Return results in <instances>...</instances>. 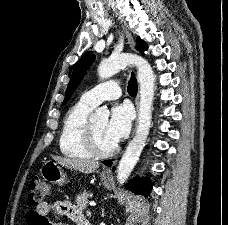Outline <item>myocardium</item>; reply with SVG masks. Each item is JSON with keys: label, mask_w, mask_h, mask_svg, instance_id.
<instances>
[{"label": "myocardium", "mask_w": 228, "mask_h": 225, "mask_svg": "<svg viewBox=\"0 0 228 225\" xmlns=\"http://www.w3.org/2000/svg\"><path fill=\"white\" fill-rule=\"evenodd\" d=\"M86 142L91 151L98 156H107L118 150V145L116 143H113L110 146H103L101 144L91 122H88L87 125Z\"/></svg>", "instance_id": "f54148a6"}]
</instances>
